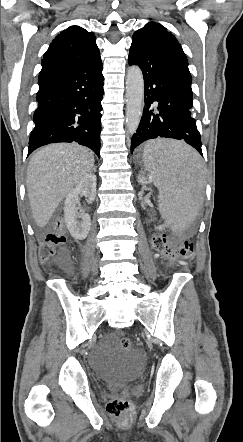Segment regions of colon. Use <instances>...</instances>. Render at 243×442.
I'll return each instance as SVG.
<instances>
[{"label": "colon", "instance_id": "5ec220e1", "mask_svg": "<svg viewBox=\"0 0 243 442\" xmlns=\"http://www.w3.org/2000/svg\"><path fill=\"white\" fill-rule=\"evenodd\" d=\"M148 231L152 233L150 235V241L152 242L153 251L159 254L162 259H178L179 262H191L195 254L198 253L199 248L195 245L192 237H183L178 239L174 237L172 242L176 248L173 251L168 243L171 241V234L162 232L158 226H150ZM66 238L63 230V223L57 222L53 231L49 232L40 247L39 256L41 261H48L53 258L58 249L64 244ZM120 347L122 350L128 352L132 349L133 344L130 338L122 337L120 339ZM108 413L117 419H127L131 413L130 401L127 397L119 396L111 399L107 404Z\"/></svg>", "mask_w": 243, "mask_h": 442}]
</instances>
